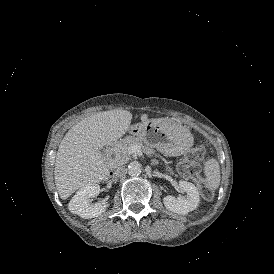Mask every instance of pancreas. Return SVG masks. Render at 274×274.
Segmentation results:
<instances>
[{
	"label": "pancreas",
	"mask_w": 274,
	"mask_h": 274,
	"mask_svg": "<svg viewBox=\"0 0 274 274\" xmlns=\"http://www.w3.org/2000/svg\"><path fill=\"white\" fill-rule=\"evenodd\" d=\"M132 145H138L141 148V151L148 156H152L155 154V150L148 147L143 146L142 140L138 137L127 136L124 139L120 140L115 147L112 149L114 152V157L111 159V164L113 166H121L126 164L130 159L129 147ZM171 171V169H168ZM173 174V172H171Z\"/></svg>",
	"instance_id": "1"
}]
</instances>
